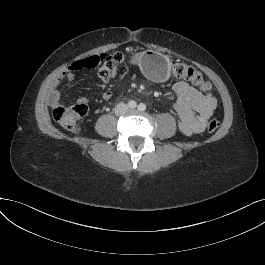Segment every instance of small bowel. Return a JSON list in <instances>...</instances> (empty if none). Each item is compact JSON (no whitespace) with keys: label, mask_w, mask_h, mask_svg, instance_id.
Returning a JSON list of instances; mask_svg holds the SVG:
<instances>
[{"label":"small bowel","mask_w":265,"mask_h":265,"mask_svg":"<svg viewBox=\"0 0 265 265\" xmlns=\"http://www.w3.org/2000/svg\"><path fill=\"white\" fill-rule=\"evenodd\" d=\"M64 77L70 79L72 77L71 72H66ZM173 91L176 98L174 108L178 114L180 131L186 136L203 132L208 119L216 109V98L209 91L201 92L186 81L176 82L173 85ZM60 95L61 90L59 81H57L48 98L52 107L58 104ZM111 98L112 93L110 91L102 93L103 100L108 101ZM87 102L88 99L86 97L78 99V103L86 104Z\"/></svg>","instance_id":"small-bowel-1"}]
</instances>
